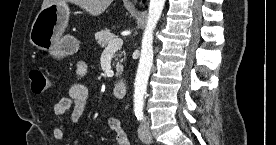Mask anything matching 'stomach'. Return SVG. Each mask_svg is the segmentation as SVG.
I'll return each mask as SVG.
<instances>
[{
	"label": "stomach",
	"mask_w": 276,
	"mask_h": 145,
	"mask_svg": "<svg viewBox=\"0 0 276 145\" xmlns=\"http://www.w3.org/2000/svg\"><path fill=\"white\" fill-rule=\"evenodd\" d=\"M69 14L66 3H52L41 9L31 27V43L58 58L77 52L79 41L71 35H64Z\"/></svg>",
	"instance_id": "obj_1"
}]
</instances>
